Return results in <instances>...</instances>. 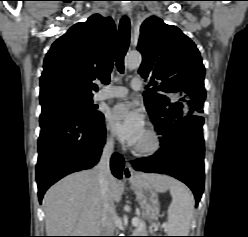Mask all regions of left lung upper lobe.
<instances>
[{
    "instance_id": "left-lung-upper-lobe-1",
    "label": "left lung upper lobe",
    "mask_w": 248,
    "mask_h": 237,
    "mask_svg": "<svg viewBox=\"0 0 248 237\" xmlns=\"http://www.w3.org/2000/svg\"><path fill=\"white\" fill-rule=\"evenodd\" d=\"M140 33L139 73L153 86L145 91L144 102L156 131L163 134L177 119L203 112L205 68L196 45L176 26L153 16Z\"/></svg>"
}]
</instances>
